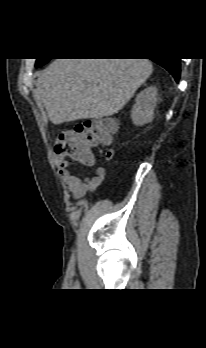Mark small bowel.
Segmentation results:
<instances>
[{
  "mask_svg": "<svg viewBox=\"0 0 206 348\" xmlns=\"http://www.w3.org/2000/svg\"><path fill=\"white\" fill-rule=\"evenodd\" d=\"M60 175L75 199H79L86 194L96 191L104 182L106 169L103 166H98L95 175L84 179H79L69 171V162L62 157L57 158ZM95 159L90 164L93 165Z\"/></svg>",
  "mask_w": 206,
  "mask_h": 348,
  "instance_id": "small-bowel-1",
  "label": "small bowel"
}]
</instances>
